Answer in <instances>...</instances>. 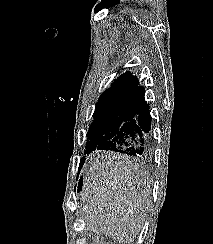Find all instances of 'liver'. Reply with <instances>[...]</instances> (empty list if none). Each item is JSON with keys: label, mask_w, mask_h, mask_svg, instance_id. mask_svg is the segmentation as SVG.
I'll return each mask as SVG.
<instances>
[{"label": "liver", "mask_w": 213, "mask_h": 244, "mask_svg": "<svg viewBox=\"0 0 213 244\" xmlns=\"http://www.w3.org/2000/svg\"><path fill=\"white\" fill-rule=\"evenodd\" d=\"M147 171L126 155L101 152L84 174L82 201L87 228L127 244L139 234L151 204Z\"/></svg>", "instance_id": "obj_1"}]
</instances>
